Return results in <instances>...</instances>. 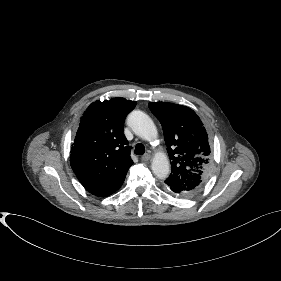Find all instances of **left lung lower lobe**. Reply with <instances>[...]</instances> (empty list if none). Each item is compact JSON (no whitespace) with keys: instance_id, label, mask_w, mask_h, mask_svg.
Wrapping results in <instances>:
<instances>
[{"instance_id":"0a47b994","label":"left lung lower lobe","mask_w":281,"mask_h":281,"mask_svg":"<svg viewBox=\"0 0 281 281\" xmlns=\"http://www.w3.org/2000/svg\"><path fill=\"white\" fill-rule=\"evenodd\" d=\"M167 191H169L170 193L176 195V196H179V197H189L188 194L180 191V190H177L175 188H172V187H165Z\"/></svg>"}]
</instances>
